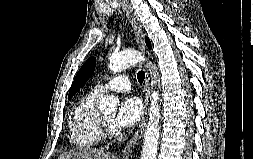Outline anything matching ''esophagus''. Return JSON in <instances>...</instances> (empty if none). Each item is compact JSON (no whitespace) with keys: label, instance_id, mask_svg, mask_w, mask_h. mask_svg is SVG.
<instances>
[{"label":"esophagus","instance_id":"esophagus-1","mask_svg":"<svg viewBox=\"0 0 253 159\" xmlns=\"http://www.w3.org/2000/svg\"><path fill=\"white\" fill-rule=\"evenodd\" d=\"M120 5L125 12L129 22L131 23L135 39L137 42V45L139 49L145 53L146 52V45L143 39V31L141 28V25L139 24L138 20L131 15L129 12V8L127 6V3L120 1ZM144 91H145V100H144V115L142 117V120L139 124L138 129L135 131L133 136L128 140L125 149L123 151V159H129L131 157V154L137 144V142L142 138L143 133H144V128L146 125V117H147V112H148V102H149V97H150V89H149V76L148 72H146V77H145V84H144Z\"/></svg>","mask_w":253,"mask_h":159}]
</instances>
